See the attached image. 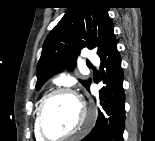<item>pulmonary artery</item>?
<instances>
[{
  "instance_id": "obj_1",
  "label": "pulmonary artery",
  "mask_w": 155,
  "mask_h": 141,
  "mask_svg": "<svg viewBox=\"0 0 155 141\" xmlns=\"http://www.w3.org/2000/svg\"><path fill=\"white\" fill-rule=\"evenodd\" d=\"M86 58L92 64H98L99 63V58L96 55L92 54L91 52L86 53Z\"/></svg>"
}]
</instances>
